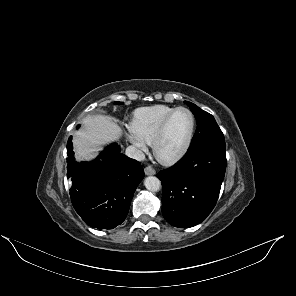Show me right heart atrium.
Listing matches in <instances>:
<instances>
[{"instance_id": "right-heart-atrium-1", "label": "right heart atrium", "mask_w": 296, "mask_h": 296, "mask_svg": "<svg viewBox=\"0 0 296 296\" xmlns=\"http://www.w3.org/2000/svg\"><path fill=\"white\" fill-rule=\"evenodd\" d=\"M128 138L139 155H143L147 151V144L140 140L133 132L128 133Z\"/></svg>"}]
</instances>
